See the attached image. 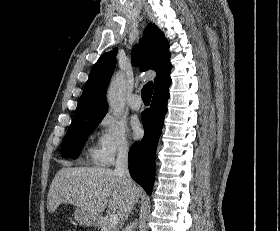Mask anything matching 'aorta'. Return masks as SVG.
Masks as SVG:
<instances>
[{"label": "aorta", "mask_w": 280, "mask_h": 231, "mask_svg": "<svg viewBox=\"0 0 280 231\" xmlns=\"http://www.w3.org/2000/svg\"><path fill=\"white\" fill-rule=\"evenodd\" d=\"M107 100L113 116H120L125 108V88L122 74L119 72L113 76L110 82Z\"/></svg>", "instance_id": "762f6f07"}]
</instances>
